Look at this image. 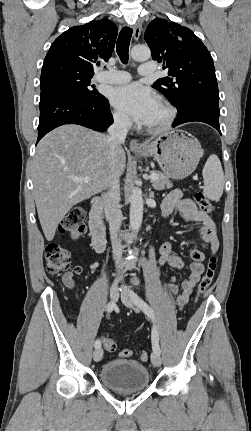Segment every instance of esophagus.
<instances>
[{
    "label": "esophagus",
    "instance_id": "1",
    "mask_svg": "<svg viewBox=\"0 0 251 431\" xmlns=\"http://www.w3.org/2000/svg\"><path fill=\"white\" fill-rule=\"evenodd\" d=\"M133 29V38L137 40L140 37L142 26L140 23H136L132 26ZM130 149L132 151H138L143 149V145L139 143L138 140L132 139L130 142Z\"/></svg>",
    "mask_w": 251,
    "mask_h": 431
}]
</instances>
